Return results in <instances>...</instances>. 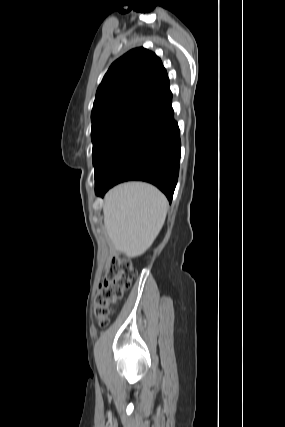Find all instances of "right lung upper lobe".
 Here are the masks:
<instances>
[{
  "label": "right lung upper lobe",
  "mask_w": 285,
  "mask_h": 427,
  "mask_svg": "<svg viewBox=\"0 0 285 427\" xmlns=\"http://www.w3.org/2000/svg\"><path fill=\"white\" fill-rule=\"evenodd\" d=\"M169 89L161 60L145 48H135L116 60L98 87L92 121L120 111L145 112Z\"/></svg>",
  "instance_id": "right-lung-upper-lobe-1"
}]
</instances>
